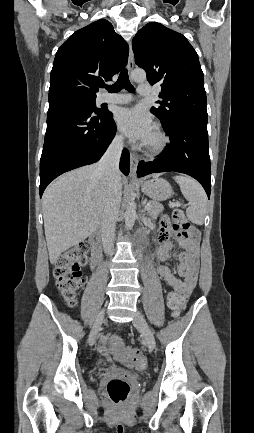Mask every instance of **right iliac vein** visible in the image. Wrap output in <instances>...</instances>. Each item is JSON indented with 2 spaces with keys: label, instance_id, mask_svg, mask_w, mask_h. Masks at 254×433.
Returning <instances> with one entry per match:
<instances>
[{
  "label": "right iliac vein",
  "instance_id": "obj_1",
  "mask_svg": "<svg viewBox=\"0 0 254 433\" xmlns=\"http://www.w3.org/2000/svg\"><path fill=\"white\" fill-rule=\"evenodd\" d=\"M103 322H104V312H101L90 333V337H89L90 343L94 342L96 335L98 334V331L100 329V326L102 325Z\"/></svg>",
  "mask_w": 254,
  "mask_h": 433
}]
</instances>
